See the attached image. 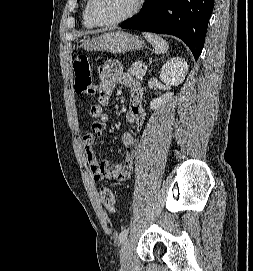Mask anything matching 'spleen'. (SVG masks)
<instances>
[{"mask_svg": "<svg viewBox=\"0 0 253 271\" xmlns=\"http://www.w3.org/2000/svg\"><path fill=\"white\" fill-rule=\"evenodd\" d=\"M142 35L154 47L157 53H166L168 51L169 45L167 41L159 35L149 32H142Z\"/></svg>", "mask_w": 253, "mask_h": 271, "instance_id": "1", "label": "spleen"}]
</instances>
